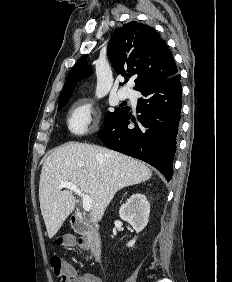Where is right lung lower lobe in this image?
I'll return each mask as SVG.
<instances>
[{
    "instance_id": "1",
    "label": "right lung lower lobe",
    "mask_w": 232,
    "mask_h": 282,
    "mask_svg": "<svg viewBox=\"0 0 232 282\" xmlns=\"http://www.w3.org/2000/svg\"><path fill=\"white\" fill-rule=\"evenodd\" d=\"M137 91L144 96L137 104L139 122L131 118L128 107L97 135L110 149L149 163L169 181L181 118L180 75L149 82ZM131 120L134 128H128Z\"/></svg>"
}]
</instances>
